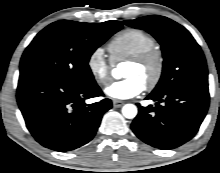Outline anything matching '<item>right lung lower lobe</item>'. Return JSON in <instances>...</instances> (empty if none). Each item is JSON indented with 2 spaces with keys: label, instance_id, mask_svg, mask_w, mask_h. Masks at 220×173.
I'll return each instance as SVG.
<instances>
[{
  "label": "right lung lower lobe",
  "instance_id": "98d812e1",
  "mask_svg": "<svg viewBox=\"0 0 220 173\" xmlns=\"http://www.w3.org/2000/svg\"><path fill=\"white\" fill-rule=\"evenodd\" d=\"M103 96L96 82L74 85L45 75H21L17 101L26 125L37 142L65 152L88 143L102 116L112 107L110 99L90 105L86 99Z\"/></svg>",
  "mask_w": 220,
  "mask_h": 173
}]
</instances>
